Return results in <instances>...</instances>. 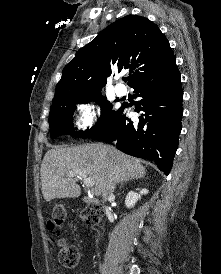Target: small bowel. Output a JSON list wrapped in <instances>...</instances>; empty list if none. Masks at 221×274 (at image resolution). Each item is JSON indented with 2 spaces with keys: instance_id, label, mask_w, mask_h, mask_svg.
<instances>
[{
  "instance_id": "1",
  "label": "small bowel",
  "mask_w": 221,
  "mask_h": 274,
  "mask_svg": "<svg viewBox=\"0 0 221 274\" xmlns=\"http://www.w3.org/2000/svg\"><path fill=\"white\" fill-rule=\"evenodd\" d=\"M46 227H47V229H48L49 231H54L55 226L53 225L51 219L47 220V222H46Z\"/></svg>"
}]
</instances>
